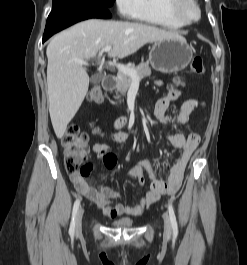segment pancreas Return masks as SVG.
<instances>
[{
	"mask_svg": "<svg viewBox=\"0 0 247 265\" xmlns=\"http://www.w3.org/2000/svg\"><path fill=\"white\" fill-rule=\"evenodd\" d=\"M129 68L133 69L137 73L138 80H141L142 78L151 75V69L149 67L148 62H142L136 67L135 65H131ZM116 82H117L116 84L117 93L123 95L128 91L129 87L133 82V79L130 76L125 75L122 72H119L116 77Z\"/></svg>",
	"mask_w": 247,
	"mask_h": 265,
	"instance_id": "obj_1",
	"label": "pancreas"
}]
</instances>
